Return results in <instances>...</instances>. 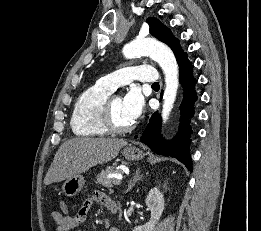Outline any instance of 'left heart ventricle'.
<instances>
[{
	"label": "left heart ventricle",
	"instance_id": "1",
	"mask_svg": "<svg viewBox=\"0 0 261 231\" xmlns=\"http://www.w3.org/2000/svg\"><path fill=\"white\" fill-rule=\"evenodd\" d=\"M112 110L115 122L120 126H127L133 121L129 118L125 112L123 106V99L121 97H116L112 102Z\"/></svg>",
	"mask_w": 261,
	"mask_h": 231
}]
</instances>
